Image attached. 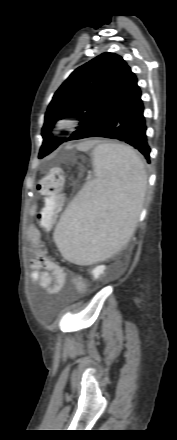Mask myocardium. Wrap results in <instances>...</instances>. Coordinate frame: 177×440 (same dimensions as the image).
I'll return each mask as SVG.
<instances>
[{"instance_id": "obj_1", "label": "myocardium", "mask_w": 177, "mask_h": 440, "mask_svg": "<svg viewBox=\"0 0 177 440\" xmlns=\"http://www.w3.org/2000/svg\"><path fill=\"white\" fill-rule=\"evenodd\" d=\"M76 125V121L71 118H60L55 121L52 132L54 135L60 136L72 130Z\"/></svg>"}]
</instances>
